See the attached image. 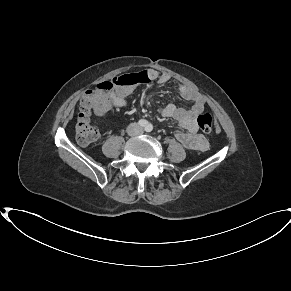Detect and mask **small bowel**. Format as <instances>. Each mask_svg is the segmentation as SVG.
Wrapping results in <instances>:
<instances>
[{"instance_id": "obj_1", "label": "small bowel", "mask_w": 291, "mask_h": 291, "mask_svg": "<svg viewBox=\"0 0 291 291\" xmlns=\"http://www.w3.org/2000/svg\"><path fill=\"white\" fill-rule=\"evenodd\" d=\"M143 80H156L158 84H165L170 80V75L167 73L159 74L154 69H147L140 73ZM141 81V82H142ZM135 86L130 85L121 87L112 92L108 97L102 99L107 104V110L111 106L123 108L127 106V98L134 92ZM178 93L184 100L193 103L192 107L185 109L174 104H168L161 108L160 113L165 118L176 120L179 126L185 132L176 134L177 140L187 149L194 151H205L207 148V140L204 136L198 133L197 117L205 110V101L203 97L186 84L178 86Z\"/></svg>"}]
</instances>
